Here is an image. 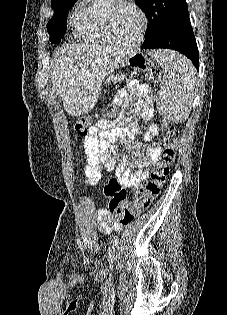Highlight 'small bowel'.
Here are the masks:
<instances>
[{
	"label": "small bowel",
	"instance_id": "obj_1",
	"mask_svg": "<svg viewBox=\"0 0 227 315\" xmlns=\"http://www.w3.org/2000/svg\"><path fill=\"white\" fill-rule=\"evenodd\" d=\"M134 98L138 105L144 106V115L152 113L149 101L151 91L145 84L136 80H131L127 87L118 95V99L124 102ZM135 129L126 126L110 125L100 122L91 127L88 135L84 138V149L86 162L84 165V175L86 184L96 185L101 179V169L107 172H114L118 182L127 188L137 190L149 176V168L156 163L161 156V148L152 145L146 150L141 144L130 147V154H122L118 160L119 153L115 143L127 146L134 136ZM133 169V171H130ZM97 226L99 230L110 233L119 231L123 225L106 208H101L96 212Z\"/></svg>",
	"mask_w": 227,
	"mask_h": 315
}]
</instances>
